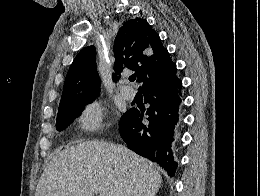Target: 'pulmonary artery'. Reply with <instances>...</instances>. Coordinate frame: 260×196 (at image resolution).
<instances>
[{"mask_svg":"<svg viewBox=\"0 0 260 196\" xmlns=\"http://www.w3.org/2000/svg\"><path fill=\"white\" fill-rule=\"evenodd\" d=\"M121 95L126 100H132L136 95V91L132 86H125L121 89Z\"/></svg>","mask_w":260,"mask_h":196,"instance_id":"1","label":"pulmonary artery"}]
</instances>
